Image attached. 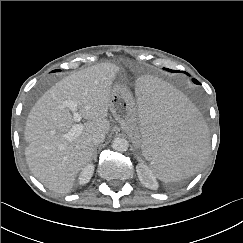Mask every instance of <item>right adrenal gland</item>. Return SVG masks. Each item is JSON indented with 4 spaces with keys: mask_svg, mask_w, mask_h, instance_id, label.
Here are the masks:
<instances>
[{
    "mask_svg": "<svg viewBox=\"0 0 243 243\" xmlns=\"http://www.w3.org/2000/svg\"><path fill=\"white\" fill-rule=\"evenodd\" d=\"M97 147H95L93 159L96 161Z\"/></svg>",
    "mask_w": 243,
    "mask_h": 243,
    "instance_id": "2a0ac1e0",
    "label": "right adrenal gland"
}]
</instances>
